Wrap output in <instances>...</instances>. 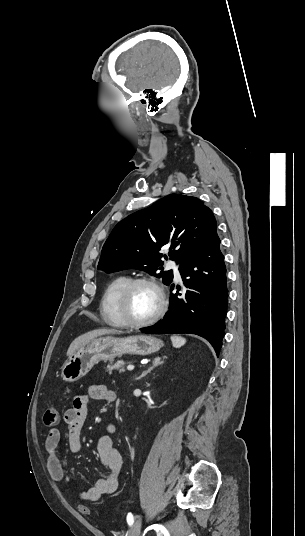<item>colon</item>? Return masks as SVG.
<instances>
[{
	"label": "colon",
	"mask_w": 305,
	"mask_h": 536,
	"mask_svg": "<svg viewBox=\"0 0 305 536\" xmlns=\"http://www.w3.org/2000/svg\"><path fill=\"white\" fill-rule=\"evenodd\" d=\"M59 410L55 404H50L47 406L44 416H43V425L45 427H54L58 423ZM78 509L80 512L85 513L87 517L92 515V512L89 510L90 506L86 502L79 504Z\"/></svg>",
	"instance_id": "5ec220e1"
}]
</instances>
